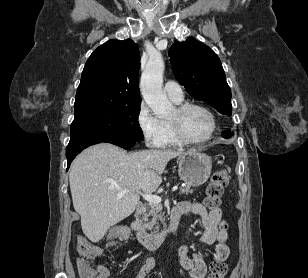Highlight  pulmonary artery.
Listing matches in <instances>:
<instances>
[{
  "label": "pulmonary artery",
  "mask_w": 308,
  "mask_h": 278,
  "mask_svg": "<svg viewBox=\"0 0 308 278\" xmlns=\"http://www.w3.org/2000/svg\"><path fill=\"white\" fill-rule=\"evenodd\" d=\"M164 92L173 101L183 100V91L179 84L173 81H168L164 85Z\"/></svg>",
  "instance_id": "obj_1"
}]
</instances>
